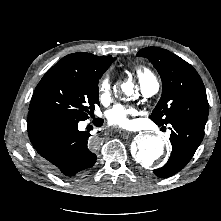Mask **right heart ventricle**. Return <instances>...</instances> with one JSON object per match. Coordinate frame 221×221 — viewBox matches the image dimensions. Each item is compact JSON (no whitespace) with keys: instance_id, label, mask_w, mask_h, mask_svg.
Returning <instances> with one entry per match:
<instances>
[{"instance_id":"1","label":"right heart ventricle","mask_w":221,"mask_h":221,"mask_svg":"<svg viewBox=\"0 0 221 221\" xmlns=\"http://www.w3.org/2000/svg\"><path fill=\"white\" fill-rule=\"evenodd\" d=\"M135 73L139 81L141 82V85L145 83L150 77L153 76L149 70L142 67L135 68Z\"/></svg>"}]
</instances>
